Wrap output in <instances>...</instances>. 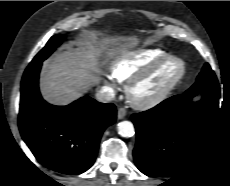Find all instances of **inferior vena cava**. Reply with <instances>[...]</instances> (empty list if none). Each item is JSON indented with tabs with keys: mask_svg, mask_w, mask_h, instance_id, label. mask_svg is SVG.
<instances>
[{
	"mask_svg": "<svg viewBox=\"0 0 230 186\" xmlns=\"http://www.w3.org/2000/svg\"><path fill=\"white\" fill-rule=\"evenodd\" d=\"M115 92L112 88L104 86L96 93V98L98 101L106 103L114 99Z\"/></svg>",
	"mask_w": 230,
	"mask_h": 186,
	"instance_id": "obj_1",
	"label": "inferior vena cava"
}]
</instances>
